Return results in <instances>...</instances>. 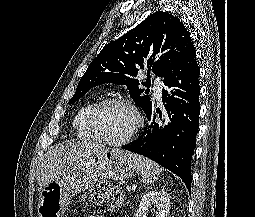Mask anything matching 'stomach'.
Returning a JSON list of instances; mask_svg holds the SVG:
<instances>
[{"mask_svg": "<svg viewBox=\"0 0 255 217\" xmlns=\"http://www.w3.org/2000/svg\"><path fill=\"white\" fill-rule=\"evenodd\" d=\"M135 164L130 153L105 148L83 166L66 173L42 188L38 199V217H63L71 198L100 180L123 181L132 176Z\"/></svg>", "mask_w": 255, "mask_h": 217, "instance_id": "stomach-1", "label": "stomach"}]
</instances>
